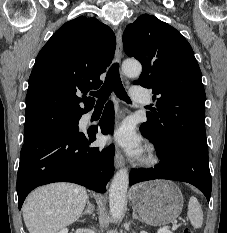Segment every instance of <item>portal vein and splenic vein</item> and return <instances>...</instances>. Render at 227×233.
I'll return each mask as SVG.
<instances>
[{"instance_id":"18ae733b","label":"portal vein and splenic vein","mask_w":227,"mask_h":233,"mask_svg":"<svg viewBox=\"0 0 227 233\" xmlns=\"http://www.w3.org/2000/svg\"><path fill=\"white\" fill-rule=\"evenodd\" d=\"M178 228V224L176 222L172 225V230H176Z\"/></svg>"}]
</instances>
